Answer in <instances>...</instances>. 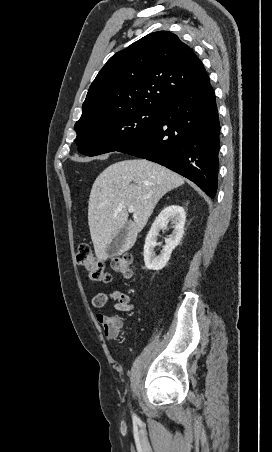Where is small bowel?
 <instances>
[{"mask_svg":"<svg viewBox=\"0 0 272 452\" xmlns=\"http://www.w3.org/2000/svg\"><path fill=\"white\" fill-rule=\"evenodd\" d=\"M110 301L113 302V308L119 312L127 313L134 309L130 295L119 291L96 294L92 299V305L95 308H102ZM96 320L103 327L105 336L108 339L114 340L118 337L123 323L120 316L100 313L96 315Z\"/></svg>","mask_w":272,"mask_h":452,"instance_id":"small-bowel-1","label":"small bowel"}]
</instances>
